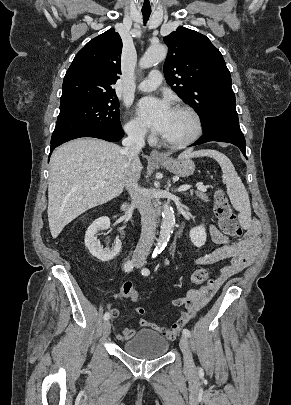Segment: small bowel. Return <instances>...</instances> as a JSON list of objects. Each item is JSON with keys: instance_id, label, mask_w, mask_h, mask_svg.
Instances as JSON below:
<instances>
[{"instance_id": "small-bowel-1", "label": "small bowel", "mask_w": 291, "mask_h": 405, "mask_svg": "<svg viewBox=\"0 0 291 405\" xmlns=\"http://www.w3.org/2000/svg\"><path fill=\"white\" fill-rule=\"evenodd\" d=\"M209 234L212 242L219 245V247L197 258L195 264L211 265L221 261H228V263L206 284L199 288L188 290L185 297L173 301L174 306H185L187 311L181 313L179 319L171 326V328H165L148 322L142 318V316L145 315V310L143 308H137L136 315L138 316L140 326H150L166 339L174 340L179 334L181 328L197 315V313L210 301L222 284L228 278L249 266L261 249V240L259 237L260 225L257 221L251 222L246 228L244 239L234 244H228V236L222 233L214 225H210ZM109 314H111L112 318H117L119 316V310L112 308ZM134 333L135 329L133 327H128L118 333L116 337L118 340L125 341L131 338Z\"/></svg>"}]
</instances>
